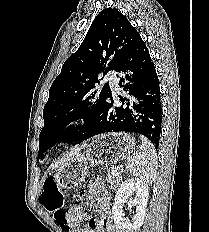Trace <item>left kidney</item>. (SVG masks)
<instances>
[{
	"label": "left kidney",
	"mask_w": 209,
	"mask_h": 232,
	"mask_svg": "<svg viewBox=\"0 0 209 232\" xmlns=\"http://www.w3.org/2000/svg\"><path fill=\"white\" fill-rule=\"evenodd\" d=\"M148 190V184L138 178L121 183L112 207L115 226L119 232H134L141 227L145 219ZM134 193L135 198L130 197ZM125 203L130 207L136 206V214L132 221L124 217L122 208Z\"/></svg>",
	"instance_id": "left-kidney-1"
}]
</instances>
